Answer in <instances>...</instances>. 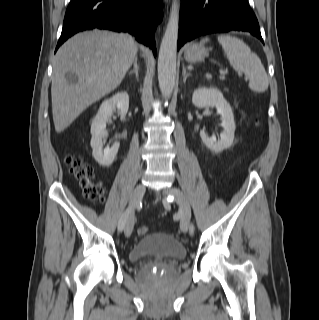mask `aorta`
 Here are the masks:
<instances>
[{
	"mask_svg": "<svg viewBox=\"0 0 319 320\" xmlns=\"http://www.w3.org/2000/svg\"><path fill=\"white\" fill-rule=\"evenodd\" d=\"M178 29L179 2L174 0L158 57V80L165 99L171 97L175 85Z\"/></svg>",
	"mask_w": 319,
	"mask_h": 320,
	"instance_id": "aorta-1",
	"label": "aorta"
}]
</instances>
